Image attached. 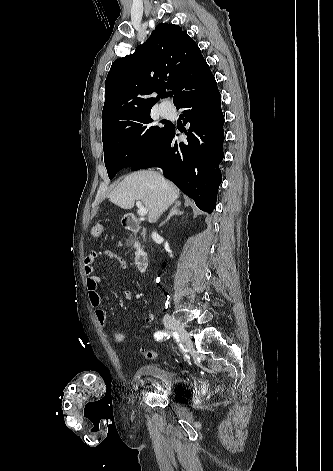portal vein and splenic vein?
Instances as JSON below:
<instances>
[{
    "instance_id": "1",
    "label": "portal vein and splenic vein",
    "mask_w": 333,
    "mask_h": 471,
    "mask_svg": "<svg viewBox=\"0 0 333 471\" xmlns=\"http://www.w3.org/2000/svg\"><path fill=\"white\" fill-rule=\"evenodd\" d=\"M136 204H137V207H138L139 216H145L148 213L147 208L142 205L141 201H137Z\"/></svg>"
}]
</instances>
